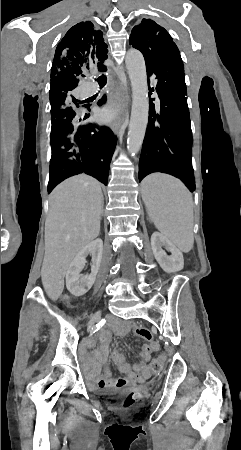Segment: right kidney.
I'll use <instances>...</instances> for the list:
<instances>
[{
	"instance_id": "1",
	"label": "right kidney",
	"mask_w": 241,
	"mask_h": 450,
	"mask_svg": "<svg viewBox=\"0 0 241 450\" xmlns=\"http://www.w3.org/2000/svg\"><path fill=\"white\" fill-rule=\"evenodd\" d=\"M102 252L103 242L100 238H97V240H93V242L87 244L85 248H82V250L76 254L66 274L67 290L72 296H83V294H86V292L92 288L99 272ZM89 254L92 256L91 274L80 276V272L86 264L85 258H87Z\"/></svg>"
}]
</instances>
